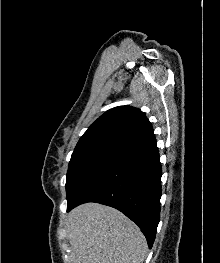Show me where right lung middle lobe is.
Returning <instances> with one entry per match:
<instances>
[{
  "mask_svg": "<svg viewBox=\"0 0 220 263\" xmlns=\"http://www.w3.org/2000/svg\"><path fill=\"white\" fill-rule=\"evenodd\" d=\"M118 153L112 149L74 151L67 172V204L74 202L86 184Z\"/></svg>",
  "mask_w": 220,
  "mask_h": 263,
  "instance_id": "1",
  "label": "right lung middle lobe"
}]
</instances>
